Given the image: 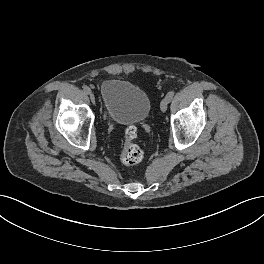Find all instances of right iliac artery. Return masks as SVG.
I'll list each match as a JSON object with an SVG mask.
<instances>
[{
	"instance_id": "right-iliac-artery-1",
	"label": "right iliac artery",
	"mask_w": 264,
	"mask_h": 264,
	"mask_svg": "<svg viewBox=\"0 0 264 264\" xmlns=\"http://www.w3.org/2000/svg\"><path fill=\"white\" fill-rule=\"evenodd\" d=\"M83 90L85 93L89 94L91 92V89L88 86H84Z\"/></svg>"
}]
</instances>
